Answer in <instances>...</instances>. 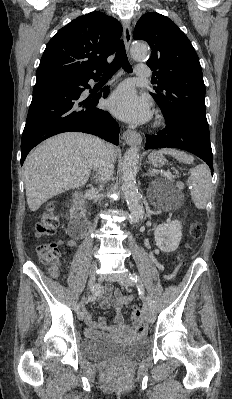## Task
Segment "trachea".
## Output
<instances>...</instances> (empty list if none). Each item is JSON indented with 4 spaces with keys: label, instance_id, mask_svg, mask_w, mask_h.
I'll return each mask as SVG.
<instances>
[{
    "label": "trachea",
    "instance_id": "trachea-1",
    "mask_svg": "<svg viewBox=\"0 0 232 399\" xmlns=\"http://www.w3.org/2000/svg\"><path fill=\"white\" fill-rule=\"evenodd\" d=\"M122 67L127 73H132V66L130 65L127 54L125 51V46L121 42L117 49L115 58L113 62L109 65L107 71L104 73L103 77H112V75Z\"/></svg>",
    "mask_w": 232,
    "mask_h": 399
}]
</instances>
